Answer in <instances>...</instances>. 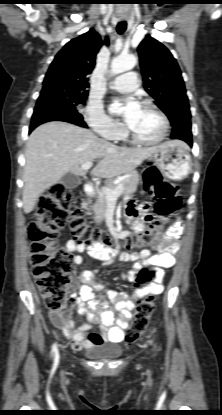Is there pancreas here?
Wrapping results in <instances>:
<instances>
[{
  "label": "pancreas",
  "mask_w": 222,
  "mask_h": 415,
  "mask_svg": "<svg viewBox=\"0 0 222 415\" xmlns=\"http://www.w3.org/2000/svg\"><path fill=\"white\" fill-rule=\"evenodd\" d=\"M139 183V174L136 171H132L128 174L127 177L121 179L118 184H114V182H110L107 185V188L114 190L118 185H123L124 189L122 191L123 196H130L132 195ZM108 207L107 196L103 191H100L97 197L96 204L94 206V213H95V220L97 222H101L105 219L106 211Z\"/></svg>",
  "instance_id": "cf45deb5"
}]
</instances>
